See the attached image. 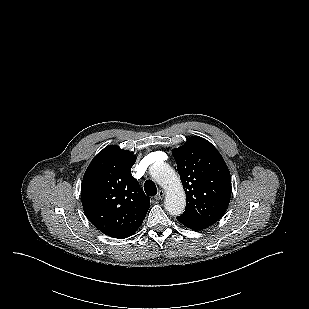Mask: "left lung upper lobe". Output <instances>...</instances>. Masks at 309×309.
Wrapping results in <instances>:
<instances>
[{
	"label": "left lung upper lobe",
	"instance_id": "obj_1",
	"mask_svg": "<svg viewBox=\"0 0 309 309\" xmlns=\"http://www.w3.org/2000/svg\"><path fill=\"white\" fill-rule=\"evenodd\" d=\"M173 155L186 193V208L179 217L213 225L224 215L232 192L224 159L209 141L199 136L174 149Z\"/></svg>",
	"mask_w": 309,
	"mask_h": 309
}]
</instances>
